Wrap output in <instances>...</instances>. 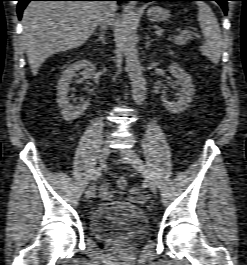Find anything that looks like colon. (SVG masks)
Returning <instances> with one entry per match:
<instances>
[{
    "mask_svg": "<svg viewBox=\"0 0 247 265\" xmlns=\"http://www.w3.org/2000/svg\"><path fill=\"white\" fill-rule=\"evenodd\" d=\"M117 187L121 190H124L127 188V181L124 178H119L117 180Z\"/></svg>",
    "mask_w": 247,
    "mask_h": 265,
    "instance_id": "5ec220e1",
    "label": "colon"
}]
</instances>
